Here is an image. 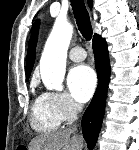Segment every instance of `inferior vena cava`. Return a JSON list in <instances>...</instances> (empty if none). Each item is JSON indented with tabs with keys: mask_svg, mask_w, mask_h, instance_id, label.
I'll list each match as a JSON object with an SVG mask.
<instances>
[{
	"mask_svg": "<svg viewBox=\"0 0 139 150\" xmlns=\"http://www.w3.org/2000/svg\"><path fill=\"white\" fill-rule=\"evenodd\" d=\"M77 110H78L79 112H81V110H82V105H77ZM76 129H77V125L75 124V125H73L71 128H69L68 131H69L70 133H73V132L76 131Z\"/></svg>",
	"mask_w": 139,
	"mask_h": 150,
	"instance_id": "1",
	"label": "inferior vena cava"
}]
</instances>
